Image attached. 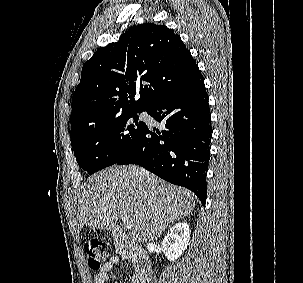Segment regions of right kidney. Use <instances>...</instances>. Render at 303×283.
Wrapping results in <instances>:
<instances>
[{
  "label": "right kidney",
  "instance_id": "ca27d5eb",
  "mask_svg": "<svg viewBox=\"0 0 303 283\" xmlns=\"http://www.w3.org/2000/svg\"><path fill=\"white\" fill-rule=\"evenodd\" d=\"M189 239L190 229L187 223L180 222L173 226L161 244L162 251L167 259L170 261L177 260L187 249Z\"/></svg>",
  "mask_w": 303,
  "mask_h": 283
}]
</instances>
